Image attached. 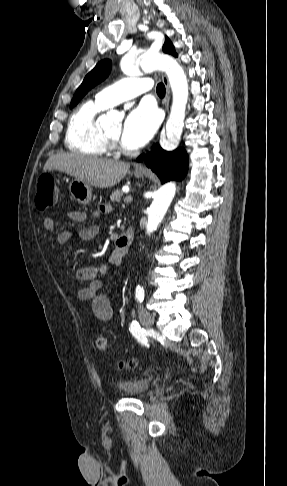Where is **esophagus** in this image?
Segmentation results:
<instances>
[{"mask_svg": "<svg viewBox=\"0 0 287 486\" xmlns=\"http://www.w3.org/2000/svg\"><path fill=\"white\" fill-rule=\"evenodd\" d=\"M162 80H163V83L166 87V96L164 98V106H165V109L166 111L168 112V109H169V100H170V86H169V81H168V78L165 74H162ZM136 170L137 171H141V172H145L147 171V168L143 165H139L136 167Z\"/></svg>", "mask_w": 287, "mask_h": 486, "instance_id": "esophagus-1", "label": "esophagus"}]
</instances>
